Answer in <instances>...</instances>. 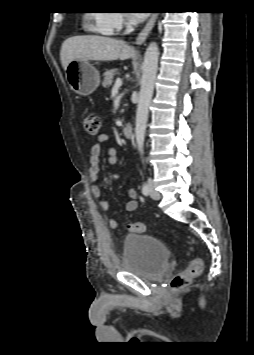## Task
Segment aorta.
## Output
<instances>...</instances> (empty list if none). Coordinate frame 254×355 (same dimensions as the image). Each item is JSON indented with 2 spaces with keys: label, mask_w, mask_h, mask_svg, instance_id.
I'll return each instance as SVG.
<instances>
[{
  "label": "aorta",
  "mask_w": 254,
  "mask_h": 355,
  "mask_svg": "<svg viewBox=\"0 0 254 355\" xmlns=\"http://www.w3.org/2000/svg\"><path fill=\"white\" fill-rule=\"evenodd\" d=\"M158 57V45L155 42H152L147 47L144 55L141 88L136 112L135 139L141 154H143L148 109L154 92V84L158 69Z\"/></svg>",
  "instance_id": "1"
}]
</instances>
